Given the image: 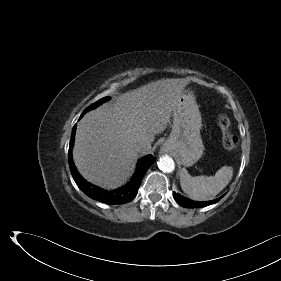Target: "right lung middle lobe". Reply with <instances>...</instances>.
<instances>
[{"label": "right lung middle lobe", "mask_w": 281, "mask_h": 281, "mask_svg": "<svg viewBox=\"0 0 281 281\" xmlns=\"http://www.w3.org/2000/svg\"><path fill=\"white\" fill-rule=\"evenodd\" d=\"M108 99H109V97H105V98L100 99V100L97 101L96 103H94V104H92L91 106H89L88 108H86V109L83 111L82 114H84L85 112H87V111L90 110V109H93V108L97 107L99 104H101V103L107 101Z\"/></svg>", "instance_id": "dd1d6c3e"}]
</instances>
